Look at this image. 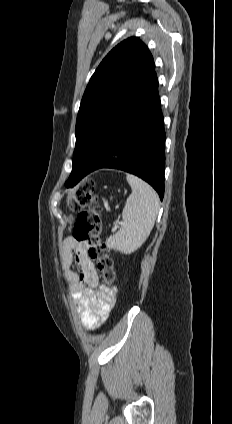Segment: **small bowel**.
Instances as JSON below:
<instances>
[{"label":"small bowel","instance_id":"obj_1","mask_svg":"<svg viewBox=\"0 0 232 424\" xmlns=\"http://www.w3.org/2000/svg\"><path fill=\"white\" fill-rule=\"evenodd\" d=\"M87 250L86 243L67 237L62 242L60 258L75 310L84 327L95 330L108 318L116 292L100 286L98 272Z\"/></svg>","mask_w":232,"mask_h":424}]
</instances>
